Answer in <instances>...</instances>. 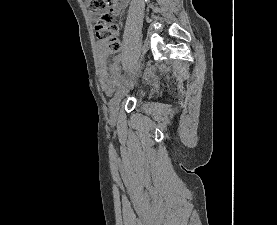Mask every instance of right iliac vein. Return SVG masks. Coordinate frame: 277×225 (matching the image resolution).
I'll list each match as a JSON object with an SVG mask.
<instances>
[{"instance_id":"1","label":"right iliac vein","mask_w":277,"mask_h":225,"mask_svg":"<svg viewBox=\"0 0 277 225\" xmlns=\"http://www.w3.org/2000/svg\"><path fill=\"white\" fill-rule=\"evenodd\" d=\"M140 72V67L136 70V73L133 77V79L129 82V84H127V86L121 88V90H119L114 98L112 99V104H111V118L115 119L118 111H119V106H120V102L123 99V97L129 92L130 89L133 88V86L136 83L137 77L139 75Z\"/></svg>"}]
</instances>
